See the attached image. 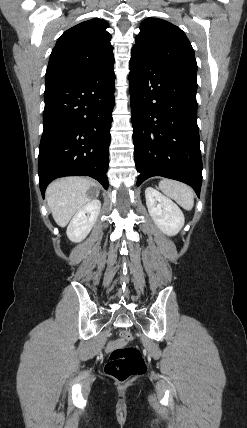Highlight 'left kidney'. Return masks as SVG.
I'll return each mask as SVG.
<instances>
[{"label":"left kidney","instance_id":"1","mask_svg":"<svg viewBox=\"0 0 247 428\" xmlns=\"http://www.w3.org/2000/svg\"><path fill=\"white\" fill-rule=\"evenodd\" d=\"M148 212L157 227L167 235H176L184 225L181 209L152 187L145 190Z\"/></svg>","mask_w":247,"mask_h":428}]
</instances>
